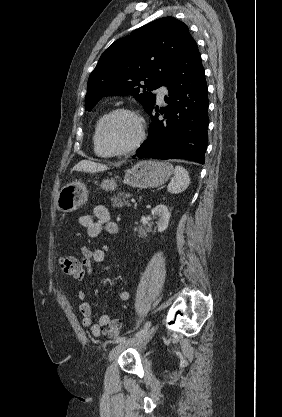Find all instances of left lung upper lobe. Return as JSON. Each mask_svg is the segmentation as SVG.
<instances>
[{
    "mask_svg": "<svg viewBox=\"0 0 282 417\" xmlns=\"http://www.w3.org/2000/svg\"><path fill=\"white\" fill-rule=\"evenodd\" d=\"M193 41L186 24L174 17L157 19L118 39L89 77L85 109L91 111L103 96L133 95L149 112L156 102L151 91L162 86L174 61Z\"/></svg>",
    "mask_w": 282,
    "mask_h": 417,
    "instance_id": "obj_1",
    "label": "left lung upper lobe"
}]
</instances>
